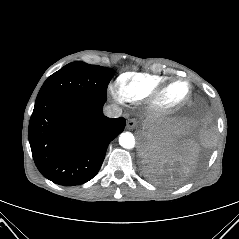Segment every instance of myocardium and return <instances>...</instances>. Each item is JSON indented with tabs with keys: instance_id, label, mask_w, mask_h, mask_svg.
Segmentation results:
<instances>
[{
	"instance_id": "f54148a6",
	"label": "myocardium",
	"mask_w": 239,
	"mask_h": 239,
	"mask_svg": "<svg viewBox=\"0 0 239 239\" xmlns=\"http://www.w3.org/2000/svg\"><path fill=\"white\" fill-rule=\"evenodd\" d=\"M177 84H184L186 86L185 96L175 104H167L165 101V96L169 89ZM191 97V85L185 79H174L169 82H166L155 89L148 96L149 108L159 114H171L180 110L190 99Z\"/></svg>"
}]
</instances>
